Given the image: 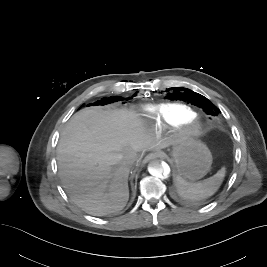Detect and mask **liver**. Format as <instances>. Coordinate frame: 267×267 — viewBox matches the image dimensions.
<instances>
[{"instance_id": "1", "label": "liver", "mask_w": 267, "mask_h": 267, "mask_svg": "<svg viewBox=\"0 0 267 267\" xmlns=\"http://www.w3.org/2000/svg\"><path fill=\"white\" fill-rule=\"evenodd\" d=\"M172 142L155 138L128 110L85 108L74 114L57 146L59 176L71 200L96 216L122 210L129 199V154L161 149Z\"/></svg>"}]
</instances>
